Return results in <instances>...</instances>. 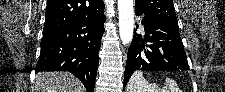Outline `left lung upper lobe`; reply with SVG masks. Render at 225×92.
<instances>
[{
	"mask_svg": "<svg viewBox=\"0 0 225 92\" xmlns=\"http://www.w3.org/2000/svg\"><path fill=\"white\" fill-rule=\"evenodd\" d=\"M135 11L144 14L148 19L178 27L172 0H135Z\"/></svg>",
	"mask_w": 225,
	"mask_h": 92,
	"instance_id": "left-lung-upper-lobe-1",
	"label": "left lung upper lobe"
}]
</instances>
